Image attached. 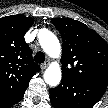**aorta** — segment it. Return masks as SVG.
Segmentation results:
<instances>
[{
  "label": "aorta",
  "mask_w": 108,
  "mask_h": 108,
  "mask_svg": "<svg viewBox=\"0 0 108 108\" xmlns=\"http://www.w3.org/2000/svg\"><path fill=\"white\" fill-rule=\"evenodd\" d=\"M38 38L39 43L46 54L52 58L60 57L61 46L54 33L48 30L40 31ZM61 77V67L57 63L50 64L44 72V80L51 87L57 86L61 81Z\"/></svg>",
  "instance_id": "762f6f07"
}]
</instances>
